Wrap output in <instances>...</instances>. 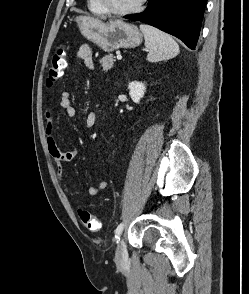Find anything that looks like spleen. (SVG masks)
<instances>
[{"instance_id":"obj_1","label":"spleen","mask_w":249,"mask_h":294,"mask_svg":"<svg viewBox=\"0 0 249 294\" xmlns=\"http://www.w3.org/2000/svg\"><path fill=\"white\" fill-rule=\"evenodd\" d=\"M140 30L145 38V47L148 49L147 60L149 62L171 59L179 54L178 44L167 33L147 24H141Z\"/></svg>"}]
</instances>
